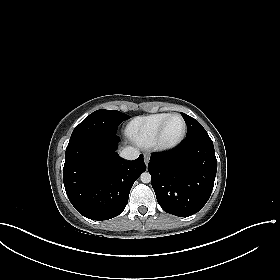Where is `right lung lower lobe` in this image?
<instances>
[{
    "label": "right lung lower lobe",
    "instance_id": "98d812e1",
    "mask_svg": "<svg viewBox=\"0 0 280 280\" xmlns=\"http://www.w3.org/2000/svg\"><path fill=\"white\" fill-rule=\"evenodd\" d=\"M116 135H86L69 141L63 179L74 208L91 220L121 214L136 179L146 170L141 154L126 161L116 152Z\"/></svg>",
    "mask_w": 280,
    "mask_h": 280
}]
</instances>
